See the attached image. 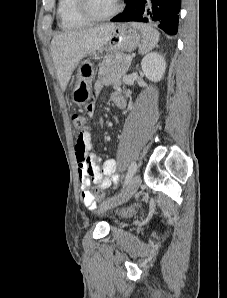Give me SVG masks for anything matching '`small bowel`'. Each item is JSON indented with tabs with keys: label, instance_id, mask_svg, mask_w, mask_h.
Masks as SVG:
<instances>
[{
	"label": "small bowel",
	"instance_id": "1",
	"mask_svg": "<svg viewBox=\"0 0 227 298\" xmlns=\"http://www.w3.org/2000/svg\"><path fill=\"white\" fill-rule=\"evenodd\" d=\"M97 88L99 89L100 85ZM115 100H120L123 103V107L125 106V100L121 93L115 92L113 94V101ZM83 111L86 115L96 114L93 104H84ZM84 144L83 155L75 149L81 199L87 207L95 209L96 203L90 192L91 182L99 189H107L112 184H119L120 175L116 172V163L113 159H108L101 166L99 165L102 159L97 154L91 152V134L89 132L84 136Z\"/></svg>",
	"mask_w": 227,
	"mask_h": 298
}]
</instances>
